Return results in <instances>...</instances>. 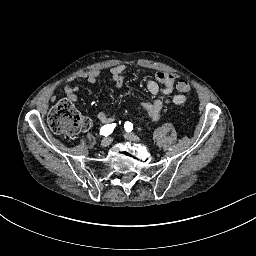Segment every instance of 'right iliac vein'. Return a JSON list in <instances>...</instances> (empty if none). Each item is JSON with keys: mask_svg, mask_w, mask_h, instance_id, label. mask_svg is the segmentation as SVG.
<instances>
[{"mask_svg": "<svg viewBox=\"0 0 256 256\" xmlns=\"http://www.w3.org/2000/svg\"><path fill=\"white\" fill-rule=\"evenodd\" d=\"M112 138L110 137H105L102 141H101V147L106 148L111 144Z\"/></svg>", "mask_w": 256, "mask_h": 256, "instance_id": "63e3f726", "label": "right iliac vein"}]
</instances>
